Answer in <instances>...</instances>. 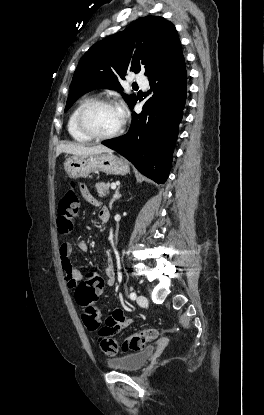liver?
Segmentation results:
<instances>
[{
    "label": "liver",
    "mask_w": 264,
    "mask_h": 415,
    "mask_svg": "<svg viewBox=\"0 0 264 415\" xmlns=\"http://www.w3.org/2000/svg\"><path fill=\"white\" fill-rule=\"evenodd\" d=\"M112 150L103 145H97L88 147L81 144L68 143L60 144L56 149V156H59L61 153H67L72 155H91V154H100V153H111Z\"/></svg>",
    "instance_id": "6515ba94"
}]
</instances>
